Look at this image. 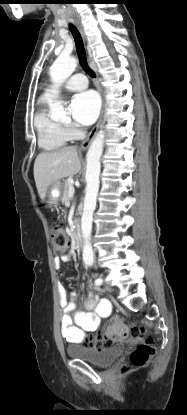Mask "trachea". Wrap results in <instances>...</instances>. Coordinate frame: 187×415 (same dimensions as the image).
Masks as SVG:
<instances>
[{
    "mask_svg": "<svg viewBox=\"0 0 187 415\" xmlns=\"http://www.w3.org/2000/svg\"><path fill=\"white\" fill-rule=\"evenodd\" d=\"M70 30L75 40L76 51L82 68L89 74V76L96 77L94 71L88 66L83 40L78 29L75 26L70 25Z\"/></svg>",
    "mask_w": 187,
    "mask_h": 415,
    "instance_id": "1",
    "label": "trachea"
}]
</instances>
